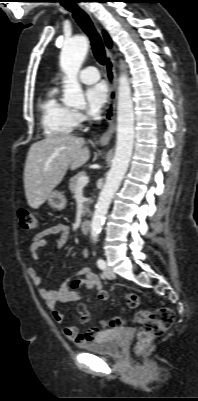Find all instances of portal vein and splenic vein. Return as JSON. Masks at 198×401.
<instances>
[{"label": "portal vein and splenic vein", "instance_id": "18ae733b", "mask_svg": "<svg viewBox=\"0 0 198 401\" xmlns=\"http://www.w3.org/2000/svg\"><path fill=\"white\" fill-rule=\"evenodd\" d=\"M89 182V178L88 176H82L79 178L78 182H77V187L76 188H83L84 186H86Z\"/></svg>", "mask_w": 198, "mask_h": 401}]
</instances>
